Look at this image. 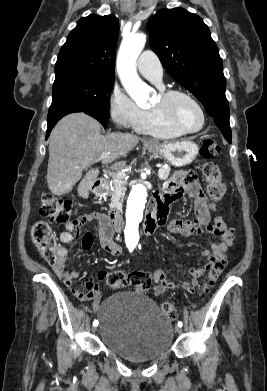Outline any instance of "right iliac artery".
Wrapping results in <instances>:
<instances>
[{"instance_id":"82829eb1","label":"right iliac artery","mask_w":267,"mask_h":391,"mask_svg":"<svg viewBox=\"0 0 267 391\" xmlns=\"http://www.w3.org/2000/svg\"><path fill=\"white\" fill-rule=\"evenodd\" d=\"M97 325H98V321L95 320V321L93 322V326H97Z\"/></svg>"}]
</instances>
